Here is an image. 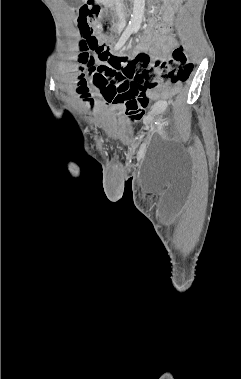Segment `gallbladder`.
Segmentation results:
<instances>
[{"label":"gallbladder","instance_id":"obj_1","mask_svg":"<svg viewBox=\"0 0 241 379\" xmlns=\"http://www.w3.org/2000/svg\"><path fill=\"white\" fill-rule=\"evenodd\" d=\"M72 3H74L75 0H70Z\"/></svg>","mask_w":241,"mask_h":379}]
</instances>
